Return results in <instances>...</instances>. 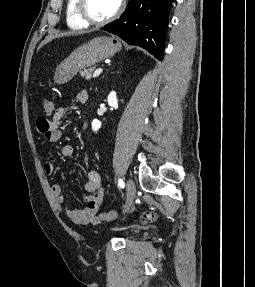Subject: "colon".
<instances>
[{
  "label": "colon",
  "mask_w": 255,
  "mask_h": 287,
  "mask_svg": "<svg viewBox=\"0 0 255 287\" xmlns=\"http://www.w3.org/2000/svg\"><path fill=\"white\" fill-rule=\"evenodd\" d=\"M41 106H42L43 113L46 116H51L54 113L55 104L52 100H50L48 98H43L41 100ZM117 216H118V212L114 211V210L104 212L100 215V217L103 221L113 220V219L117 218Z\"/></svg>",
  "instance_id": "1"
}]
</instances>
